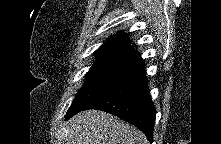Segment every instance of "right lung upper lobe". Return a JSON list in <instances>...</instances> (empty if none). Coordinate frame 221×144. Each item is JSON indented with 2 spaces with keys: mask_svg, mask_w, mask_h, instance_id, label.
<instances>
[{
  "mask_svg": "<svg viewBox=\"0 0 221 144\" xmlns=\"http://www.w3.org/2000/svg\"><path fill=\"white\" fill-rule=\"evenodd\" d=\"M130 39L123 33H116L106 42H104L99 49L96 50V54L104 53H126L140 56L139 52L130 50Z\"/></svg>",
  "mask_w": 221,
  "mask_h": 144,
  "instance_id": "cb5924a9",
  "label": "right lung upper lobe"
}]
</instances>
